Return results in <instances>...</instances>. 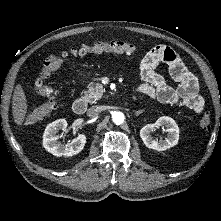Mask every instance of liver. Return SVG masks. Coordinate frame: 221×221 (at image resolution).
Returning <instances> with one entry per match:
<instances>
[{"instance_id": "1", "label": "liver", "mask_w": 221, "mask_h": 221, "mask_svg": "<svg viewBox=\"0 0 221 221\" xmlns=\"http://www.w3.org/2000/svg\"><path fill=\"white\" fill-rule=\"evenodd\" d=\"M27 106L24 90L22 86L18 84L14 90L12 98L13 118L17 125H22L27 113Z\"/></svg>"}]
</instances>
